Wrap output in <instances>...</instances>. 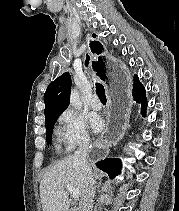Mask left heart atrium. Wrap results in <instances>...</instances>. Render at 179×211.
<instances>
[{"label": "left heart atrium", "mask_w": 179, "mask_h": 211, "mask_svg": "<svg viewBox=\"0 0 179 211\" xmlns=\"http://www.w3.org/2000/svg\"><path fill=\"white\" fill-rule=\"evenodd\" d=\"M90 122H91V126L95 132H99L102 130L104 124H103V120L101 119V117H99L97 115H93L90 118Z\"/></svg>", "instance_id": "1"}]
</instances>
